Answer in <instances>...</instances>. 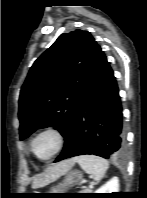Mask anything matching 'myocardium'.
Masks as SVG:
<instances>
[{
  "instance_id": "myocardium-1",
  "label": "myocardium",
  "mask_w": 147,
  "mask_h": 198,
  "mask_svg": "<svg viewBox=\"0 0 147 198\" xmlns=\"http://www.w3.org/2000/svg\"><path fill=\"white\" fill-rule=\"evenodd\" d=\"M45 134H51L55 137L56 139V148L55 150L47 157H39L36 153H35V150H34V144L36 142V140L41 137L42 135H45ZM64 145H65V136L63 134V132L57 128V127H54V126H48V127H45L41 130H39L31 139L30 141V150H31V153L32 155L40 160V161H49L51 159H53L55 156H57L61 151L62 149L64 148Z\"/></svg>"
}]
</instances>
